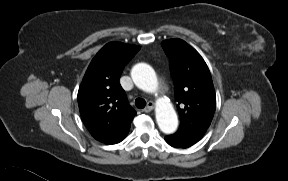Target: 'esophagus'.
<instances>
[{"mask_svg": "<svg viewBox=\"0 0 288 181\" xmlns=\"http://www.w3.org/2000/svg\"><path fill=\"white\" fill-rule=\"evenodd\" d=\"M153 108H154V103L152 101H149L147 103V106L143 109V111L148 113V112L152 111Z\"/></svg>", "mask_w": 288, "mask_h": 181, "instance_id": "34e87169", "label": "esophagus"}]
</instances>
